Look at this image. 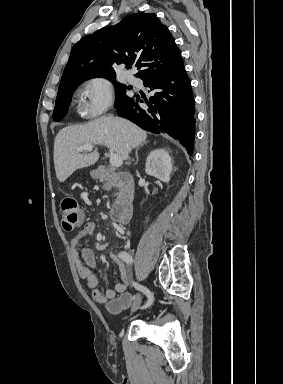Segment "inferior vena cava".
Here are the masks:
<instances>
[{"mask_svg": "<svg viewBox=\"0 0 283 384\" xmlns=\"http://www.w3.org/2000/svg\"><path fill=\"white\" fill-rule=\"evenodd\" d=\"M128 152H130V148H128Z\"/></svg>", "mask_w": 283, "mask_h": 384, "instance_id": "obj_1", "label": "inferior vena cava"}]
</instances>
